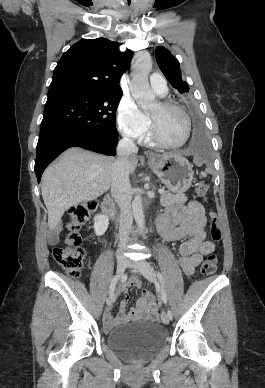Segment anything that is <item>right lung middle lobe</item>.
Here are the masks:
<instances>
[{
	"mask_svg": "<svg viewBox=\"0 0 265 388\" xmlns=\"http://www.w3.org/2000/svg\"><path fill=\"white\" fill-rule=\"evenodd\" d=\"M121 97V89L48 94L40 134L72 127L106 137H118L115 112Z\"/></svg>",
	"mask_w": 265,
	"mask_h": 388,
	"instance_id": "right-lung-middle-lobe-1",
	"label": "right lung middle lobe"
}]
</instances>
